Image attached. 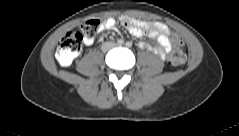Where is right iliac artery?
I'll return each instance as SVG.
<instances>
[{
  "label": "right iliac artery",
  "instance_id": "obj_1",
  "mask_svg": "<svg viewBox=\"0 0 239 136\" xmlns=\"http://www.w3.org/2000/svg\"><path fill=\"white\" fill-rule=\"evenodd\" d=\"M117 43H118L119 45H122V44L124 43V40L119 39V40L117 41Z\"/></svg>",
  "mask_w": 239,
  "mask_h": 136
}]
</instances>
